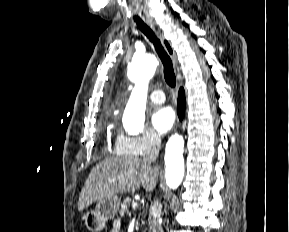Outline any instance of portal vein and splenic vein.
I'll return each mask as SVG.
<instances>
[{"label": "portal vein and splenic vein", "instance_id": "18ae733b", "mask_svg": "<svg viewBox=\"0 0 289 232\" xmlns=\"http://www.w3.org/2000/svg\"><path fill=\"white\" fill-rule=\"evenodd\" d=\"M109 182L111 183V182H113V180H109ZM137 206H138L137 202L132 203L133 209H136Z\"/></svg>", "mask_w": 289, "mask_h": 232}]
</instances>
